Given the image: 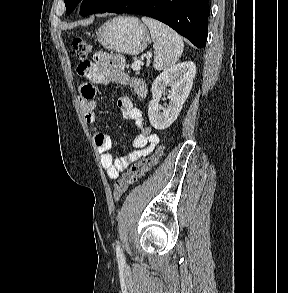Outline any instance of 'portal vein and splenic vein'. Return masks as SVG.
<instances>
[{"mask_svg": "<svg viewBox=\"0 0 288 293\" xmlns=\"http://www.w3.org/2000/svg\"><path fill=\"white\" fill-rule=\"evenodd\" d=\"M141 63L140 62H136L132 65V69L135 71H139L141 69Z\"/></svg>", "mask_w": 288, "mask_h": 293, "instance_id": "obj_1", "label": "portal vein and splenic vein"}]
</instances>
